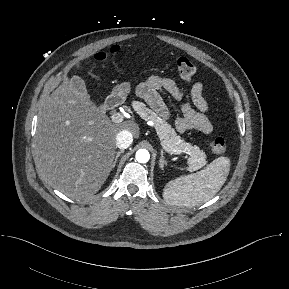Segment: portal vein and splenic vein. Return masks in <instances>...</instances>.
<instances>
[{"mask_svg": "<svg viewBox=\"0 0 289 289\" xmlns=\"http://www.w3.org/2000/svg\"><path fill=\"white\" fill-rule=\"evenodd\" d=\"M111 120L114 123H121L124 120V116L121 113L116 112L111 116ZM162 146H163L164 150L170 154H180L179 151L173 150L168 145L162 144Z\"/></svg>", "mask_w": 289, "mask_h": 289, "instance_id": "portal-vein-and-splenic-vein-1", "label": "portal vein and splenic vein"}]
</instances>
